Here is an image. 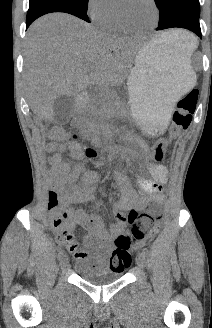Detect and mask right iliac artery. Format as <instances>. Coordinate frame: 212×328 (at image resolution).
I'll use <instances>...</instances> for the list:
<instances>
[{
	"label": "right iliac artery",
	"instance_id": "1",
	"mask_svg": "<svg viewBox=\"0 0 212 328\" xmlns=\"http://www.w3.org/2000/svg\"><path fill=\"white\" fill-rule=\"evenodd\" d=\"M64 257L63 251L60 249L58 250V259L61 260Z\"/></svg>",
	"mask_w": 212,
	"mask_h": 328
}]
</instances>
